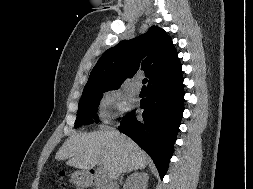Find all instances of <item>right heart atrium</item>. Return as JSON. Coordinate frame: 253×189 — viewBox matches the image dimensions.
<instances>
[{"mask_svg": "<svg viewBox=\"0 0 253 189\" xmlns=\"http://www.w3.org/2000/svg\"><path fill=\"white\" fill-rule=\"evenodd\" d=\"M124 103L121 95L116 91H110L104 94L99 104V114L104 120H107L123 109Z\"/></svg>", "mask_w": 253, "mask_h": 189, "instance_id": "right-heart-atrium-1", "label": "right heart atrium"}]
</instances>
